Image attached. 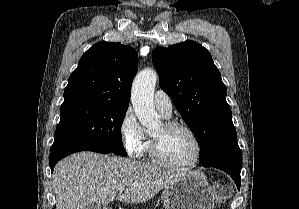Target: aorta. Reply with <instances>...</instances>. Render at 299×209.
<instances>
[{"instance_id": "obj_1", "label": "aorta", "mask_w": 299, "mask_h": 209, "mask_svg": "<svg viewBox=\"0 0 299 209\" xmlns=\"http://www.w3.org/2000/svg\"><path fill=\"white\" fill-rule=\"evenodd\" d=\"M157 82V73L144 69L137 74L133 81L131 101L139 122L147 127H155L160 123V116L154 107V91Z\"/></svg>"}]
</instances>
